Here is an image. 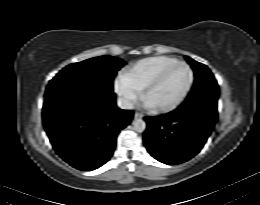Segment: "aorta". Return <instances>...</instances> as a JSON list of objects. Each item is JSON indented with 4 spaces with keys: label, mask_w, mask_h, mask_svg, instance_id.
Wrapping results in <instances>:
<instances>
[{
    "label": "aorta",
    "mask_w": 260,
    "mask_h": 205,
    "mask_svg": "<svg viewBox=\"0 0 260 205\" xmlns=\"http://www.w3.org/2000/svg\"><path fill=\"white\" fill-rule=\"evenodd\" d=\"M133 127L136 132H143L146 129V123L142 119H135L133 121Z\"/></svg>",
    "instance_id": "762f6f07"
}]
</instances>
